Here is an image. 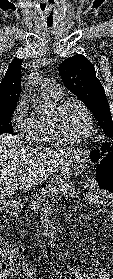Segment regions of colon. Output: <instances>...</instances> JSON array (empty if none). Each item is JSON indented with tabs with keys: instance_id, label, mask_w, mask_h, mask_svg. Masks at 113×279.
<instances>
[{
	"instance_id": "colon-1",
	"label": "colon",
	"mask_w": 113,
	"mask_h": 279,
	"mask_svg": "<svg viewBox=\"0 0 113 279\" xmlns=\"http://www.w3.org/2000/svg\"><path fill=\"white\" fill-rule=\"evenodd\" d=\"M92 159L98 163L96 182L105 193L113 194V146L103 144L92 152ZM22 261V252L15 247L6 246L0 239V275L8 265H17Z\"/></svg>"
}]
</instances>
